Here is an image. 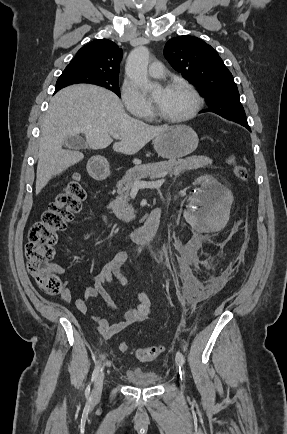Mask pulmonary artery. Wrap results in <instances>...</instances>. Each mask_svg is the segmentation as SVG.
<instances>
[{"mask_svg":"<svg viewBox=\"0 0 287 434\" xmlns=\"http://www.w3.org/2000/svg\"><path fill=\"white\" fill-rule=\"evenodd\" d=\"M148 73L153 78H161L164 76L163 65L159 61L150 64Z\"/></svg>","mask_w":287,"mask_h":434,"instance_id":"pulmonary-artery-1","label":"pulmonary artery"}]
</instances>
